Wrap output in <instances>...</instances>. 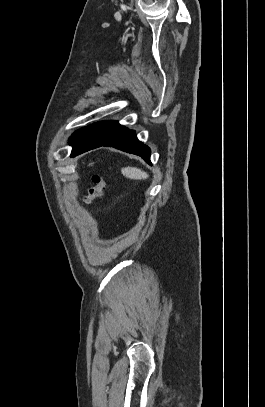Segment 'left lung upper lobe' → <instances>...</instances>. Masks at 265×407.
Returning <instances> with one entry per match:
<instances>
[{
  "instance_id": "left-lung-upper-lobe-1",
  "label": "left lung upper lobe",
  "mask_w": 265,
  "mask_h": 407,
  "mask_svg": "<svg viewBox=\"0 0 265 407\" xmlns=\"http://www.w3.org/2000/svg\"><path fill=\"white\" fill-rule=\"evenodd\" d=\"M126 129L116 121H102L84 127L73 133L70 138L71 145L73 146L72 152L89 148L99 143H105Z\"/></svg>"
}]
</instances>
